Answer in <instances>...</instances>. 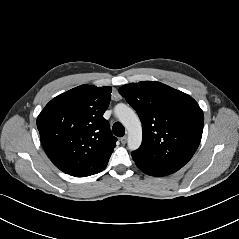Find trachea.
I'll return each mask as SVG.
<instances>
[{
    "instance_id": "trachea-1",
    "label": "trachea",
    "mask_w": 239,
    "mask_h": 239,
    "mask_svg": "<svg viewBox=\"0 0 239 239\" xmlns=\"http://www.w3.org/2000/svg\"><path fill=\"white\" fill-rule=\"evenodd\" d=\"M112 130H113L114 135H116L117 137H122L125 134L124 126L119 122H116L113 125Z\"/></svg>"
}]
</instances>
